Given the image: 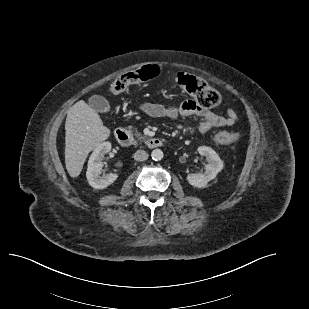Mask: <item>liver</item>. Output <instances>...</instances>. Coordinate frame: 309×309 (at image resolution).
Instances as JSON below:
<instances>
[{"instance_id": "1", "label": "liver", "mask_w": 309, "mask_h": 309, "mask_svg": "<svg viewBox=\"0 0 309 309\" xmlns=\"http://www.w3.org/2000/svg\"><path fill=\"white\" fill-rule=\"evenodd\" d=\"M65 165L69 175H80L88 154L109 138L110 130L91 106L80 100L67 112Z\"/></svg>"}]
</instances>
